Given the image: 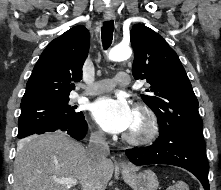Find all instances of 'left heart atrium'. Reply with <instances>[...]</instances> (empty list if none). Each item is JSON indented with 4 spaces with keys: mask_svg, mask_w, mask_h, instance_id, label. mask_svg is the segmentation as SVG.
I'll return each instance as SVG.
<instances>
[{
    "mask_svg": "<svg viewBox=\"0 0 221 190\" xmlns=\"http://www.w3.org/2000/svg\"><path fill=\"white\" fill-rule=\"evenodd\" d=\"M94 120L109 133H122L131 127L135 111L122 97L104 96L91 106Z\"/></svg>",
    "mask_w": 221,
    "mask_h": 190,
    "instance_id": "obj_1",
    "label": "left heart atrium"
}]
</instances>
